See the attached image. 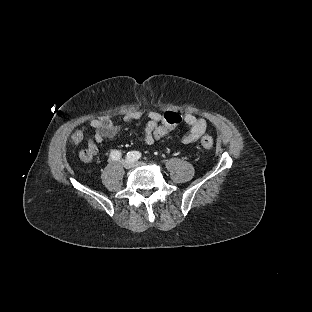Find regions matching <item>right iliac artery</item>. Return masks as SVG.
<instances>
[{"label":"right iliac artery","mask_w":312,"mask_h":312,"mask_svg":"<svg viewBox=\"0 0 312 312\" xmlns=\"http://www.w3.org/2000/svg\"><path fill=\"white\" fill-rule=\"evenodd\" d=\"M111 158L114 160H118L121 157V153L119 151H112L110 154ZM133 161V160H132Z\"/></svg>","instance_id":"right-iliac-artery-1"}]
</instances>
